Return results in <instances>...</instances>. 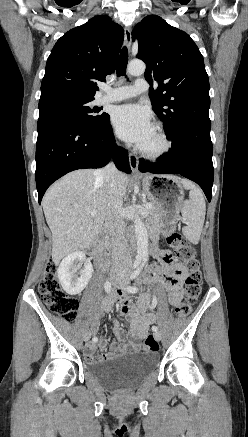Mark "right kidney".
Instances as JSON below:
<instances>
[{"label": "right kidney", "instance_id": "1", "mask_svg": "<svg viewBox=\"0 0 248 437\" xmlns=\"http://www.w3.org/2000/svg\"><path fill=\"white\" fill-rule=\"evenodd\" d=\"M84 262V268L77 275L76 263ZM93 266L86 260L85 254L81 251L67 255L60 263L57 275L64 291L69 295H77L83 291L92 277Z\"/></svg>", "mask_w": 248, "mask_h": 437}]
</instances>
